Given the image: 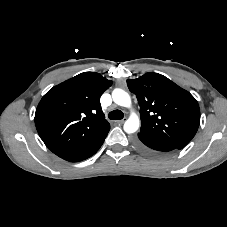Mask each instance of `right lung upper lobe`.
Listing matches in <instances>:
<instances>
[{"label": "right lung upper lobe", "mask_w": 227, "mask_h": 227, "mask_svg": "<svg viewBox=\"0 0 227 227\" xmlns=\"http://www.w3.org/2000/svg\"><path fill=\"white\" fill-rule=\"evenodd\" d=\"M112 81L96 72H84L51 88L41 99L35 125L42 141L66 159L94 148L104 139L110 124L100 97Z\"/></svg>", "instance_id": "right-lung-upper-lobe-1"}]
</instances>
